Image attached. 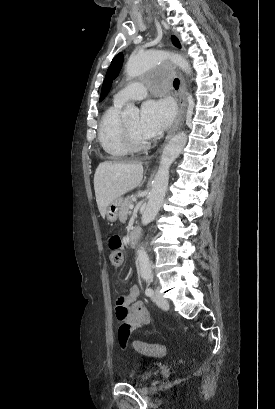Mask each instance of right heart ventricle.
<instances>
[{
    "label": "right heart ventricle",
    "mask_w": 275,
    "mask_h": 409,
    "mask_svg": "<svg viewBox=\"0 0 275 409\" xmlns=\"http://www.w3.org/2000/svg\"><path fill=\"white\" fill-rule=\"evenodd\" d=\"M120 111L121 106L114 104L104 112L99 123L98 141L109 157H122L130 153L123 137Z\"/></svg>",
    "instance_id": "right-heart-ventricle-1"
}]
</instances>
